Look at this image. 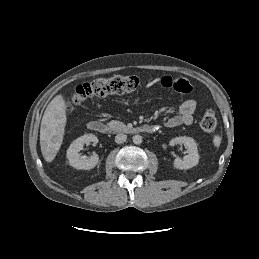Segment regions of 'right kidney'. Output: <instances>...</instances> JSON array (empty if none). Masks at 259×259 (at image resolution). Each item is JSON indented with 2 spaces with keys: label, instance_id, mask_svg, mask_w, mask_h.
I'll return each instance as SVG.
<instances>
[{
  "label": "right kidney",
  "instance_id": "obj_1",
  "mask_svg": "<svg viewBox=\"0 0 259 259\" xmlns=\"http://www.w3.org/2000/svg\"><path fill=\"white\" fill-rule=\"evenodd\" d=\"M98 143V138L93 134H85L76 140H74L67 150V159L72 167L79 170L93 169L99 163V157L97 154H93L91 157L81 156L80 150L85 143Z\"/></svg>",
  "mask_w": 259,
  "mask_h": 259
}]
</instances>
